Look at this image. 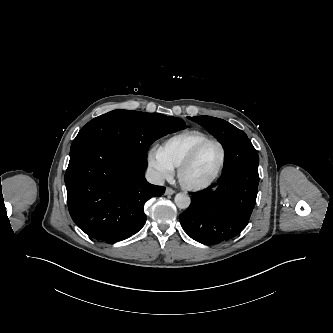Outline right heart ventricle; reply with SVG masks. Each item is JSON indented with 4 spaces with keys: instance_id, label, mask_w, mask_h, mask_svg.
<instances>
[{
    "instance_id": "1",
    "label": "right heart ventricle",
    "mask_w": 333,
    "mask_h": 333,
    "mask_svg": "<svg viewBox=\"0 0 333 333\" xmlns=\"http://www.w3.org/2000/svg\"><path fill=\"white\" fill-rule=\"evenodd\" d=\"M209 136L198 130H188L166 139L159 147L164 158L178 167L190 151Z\"/></svg>"
}]
</instances>
